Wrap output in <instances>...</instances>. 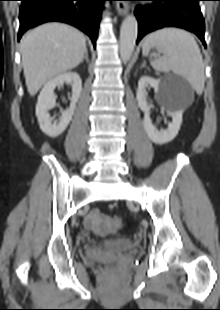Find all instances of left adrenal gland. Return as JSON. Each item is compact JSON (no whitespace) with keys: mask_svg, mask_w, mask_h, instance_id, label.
<instances>
[{"mask_svg":"<svg viewBox=\"0 0 220 310\" xmlns=\"http://www.w3.org/2000/svg\"><path fill=\"white\" fill-rule=\"evenodd\" d=\"M144 67H146V61H144L142 66H141V68H144Z\"/></svg>","mask_w":220,"mask_h":310,"instance_id":"obj_1","label":"left adrenal gland"}]
</instances>
